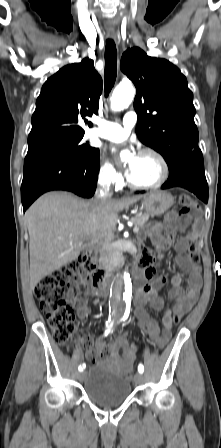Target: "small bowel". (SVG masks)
I'll return each mask as SVG.
<instances>
[{
  "instance_id": "1",
  "label": "small bowel",
  "mask_w": 221,
  "mask_h": 448,
  "mask_svg": "<svg viewBox=\"0 0 221 448\" xmlns=\"http://www.w3.org/2000/svg\"><path fill=\"white\" fill-rule=\"evenodd\" d=\"M179 222L180 215L172 211L162 222L154 225L150 240L155 247V252H150L147 247H143L145 263L140 272L145 282L138 284L134 298L135 315L139 320L140 328L159 348L165 347L171 337L173 317L177 315L181 319L191 310L202 287L200 266L192 264L185 255L197 232L191 231L188 235L176 239V233L180 229ZM171 246H174L176 251V264L188 274V287L186 290L181 287L180 275L173 276L172 288L168 291V296L174 304L172 309H166L163 299L158 294V290L165 284L166 279L164 277L153 279V273L155 265L162 257V251ZM90 294V291L87 294H81L75 288L69 295V303L75 307L76 314L81 319L87 318L92 313V308L88 304ZM148 305L162 312V329L148 314L146 310ZM136 353L137 347L129 343L125 335H120L111 344H105V341L101 339L98 346L90 351L89 357L94 362L105 361L120 374L125 375L131 371Z\"/></svg>"
}]
</instances>
